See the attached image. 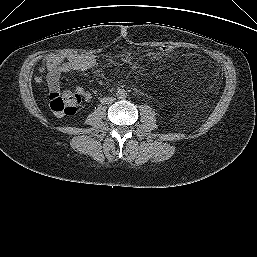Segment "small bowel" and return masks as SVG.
<instances>
[{"mask_svg":"<svg viewBox=\"0 0 257 257\" xmlns=\"http://www.w3.org/2000/svg\"><path fill=\"white\" fill-rule=\"evenodd\" d=\"M97 64L96 57L92 54H51L46 56L40 66L39 74L35 77L36 82H46L49 90L58 91L62 74L68 72H84L94 68ZM76 91L88 101L91 94L78 86Z\"/></svg>","mask_w":257,"mask_h":257,"instance_id":"obj_1","label":"small bowel"}]
</instances>
